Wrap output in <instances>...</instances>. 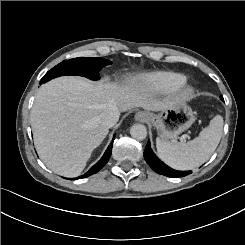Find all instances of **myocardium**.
<instances>
[{"mask_svg": "<svg viewBox=\"0 0 245 245\" xmlns=\"http://www.w3.org/2000/svg\"><path fill=\"white\" fill-rule=\"evenodd\" d=\"M173 93L182 99H187L192 94V89L186 85H180L173 89Z\"/></svg>", "mask_w": 245, "mask_h": 245, "instance_id": "obj_1", "label": "myocardium"}]
</instances>
